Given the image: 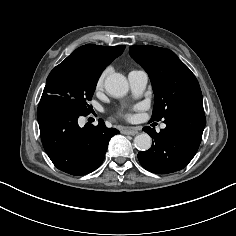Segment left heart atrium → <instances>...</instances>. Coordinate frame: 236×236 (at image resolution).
<instances>
[{"label":"left heart atrium","instance_id":"1","mask_svg":"<svg viewBox=\"0 0 236 236\" xmlns=\"http://www.w3.org/2000/svg\"><path fill=\"white\" fill-rule=\"evenodd\" d=\"M124 116H125L126 118H128V119H131V118H132V114H131V113H126Z\"/></svg>","mask_w":236,"mask_h":236}]
</instances>
